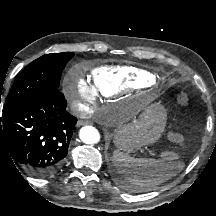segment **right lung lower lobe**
Instances as JSON below:
<instances>
[{
    "mask_svg": "<svg viewBox=\"0 0 216 216\" xmlns=\"http://www.w3.org/2000/svg\"><path fill=\"white\" fill-rule=\"evenodd\" d=\"M66 106L64 95L58 91L3 112L0 155L36 177L59 172L77 121Z\"/></svg>",
    "mask_w": 216,
    "mask_h": 216,
    "instance_id": "1",
    "label": "right lung lower lobe"
}]
</instances>
